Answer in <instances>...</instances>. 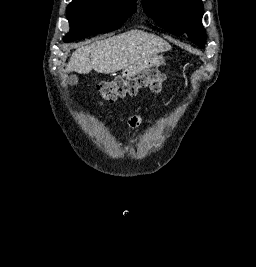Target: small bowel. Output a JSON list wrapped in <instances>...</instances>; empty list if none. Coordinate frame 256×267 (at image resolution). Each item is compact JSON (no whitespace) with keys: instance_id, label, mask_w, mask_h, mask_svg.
Wrapping results in <instances>:
<instances>
[{"instance_id":"c3829d8e","label":"small bowel","mask_w":256,"mask_h":267,"mask_svg":"<svg viewBox=\"0 0 256 267\" xmlns=\"http://www.w3.org/2000/svg\"><path fill=\"white\" fill-rule=\"evenodd\" d=\"M126 121L128 126L132 128L138 127L143 123V119L137 115L128 117Z\"/></svg>"}]
</instances>
